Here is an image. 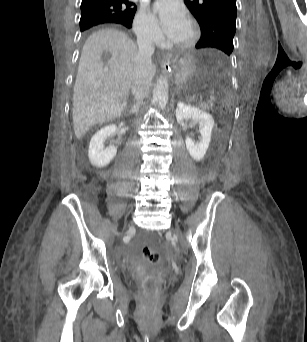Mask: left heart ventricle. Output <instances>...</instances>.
Wrapping results in <instances>:
<instances>
[{
	"label": "left heart ventricle",
	"mask_w": 307,
	"mask_h": 342,
	"mask_svg": "<svg viewBox=\"0 0 307 342\" xmlns=\"http://www.w3.org/2000/svg\"><path fill=\"white\" fill-rule=\"evenodd\" d=\"M188 35L186 36V38L184 40H182L181 42L177 43V46H182L185 44V42L187 41Z\"/></svg>",
	"instance_id": "left-heart-ventricle-1"
}]
</instances>
